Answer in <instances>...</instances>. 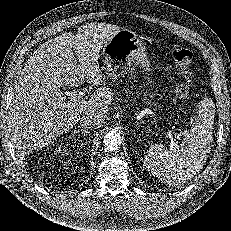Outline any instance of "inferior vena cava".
Returning a JSON list of instances; mask_svg holds the SVG:
<instances>
[{
	"label": "inferior vena cava",
	"mask_w": 231,
	"mask_h": 231,
	"mask_svg": "<svg viewBox=\"0 0 231 231\" xmlns=\"http://www.w3.org/2000/svg\"><path fill=\"white\" fill-rule=\"evenodd\" d=\"M80 125L86 129H90L97 125V119L92 114H85L80 118Z\"/></svg>",
	"instance_id": "obj_1"
}]
</instances>
